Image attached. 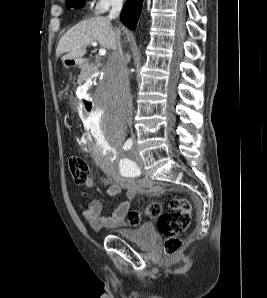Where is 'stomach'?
Instances as JSON below:
<instances>
[{"label": "stomach", "mask_w": 267, "mask_h": 298, "mask_svg": "<svg viewBox=\"0 0 267 298\" xmlns=\"http://www.w3.org/2000/svg\"><path fill=\"white\" fill-rule=\"evenodd\" d=\"M69 61H71V60H69ZM74 64L75 65L78 64V60H74Z\"/></svg>", "instance_id": "1"}]
</instances>
